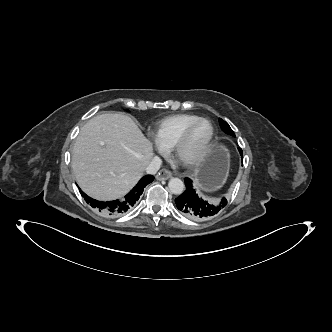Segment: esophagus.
Segmentation results:
<instances>
[{"label": "esophagus", "mask_w": 332, "mask_h": 332, "mask_svg": "<svg viewBox=\"0 0 332 332\" xmlns=\"http://www.w3.org/2000/svg\"><path fill=\"white\" fill-rule=\"evenodd\" d=\"M171 176H172V174L169 170L163 169L156 175V179L159 181L167 180V179L171 178Z\"/></svg>", "instance_id": "34e87169"}]
</instances>
